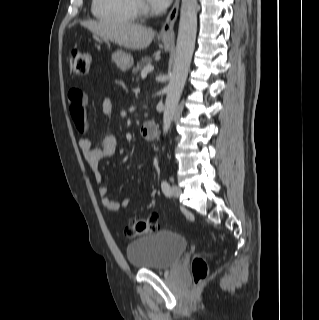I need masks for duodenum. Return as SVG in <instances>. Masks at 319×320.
Here are the masks:
<instances>
[{"mask_svg":"<svg viewBox=\"0 0 319 320\" xmlns=\"http://www.w3.org/2000/svg\"><path fill=\"white\" fill-rule=\"evenodd\" d=\"M140 134L144 139L154 140L159 134L158 125L154 121L144 122L140 127Z\"/></svg>","mask_w":319,"mask_h":320,"instance_id":"410a0bca","label":"duodenum"}]
</instances>
